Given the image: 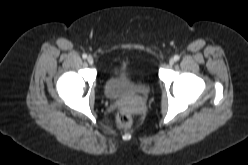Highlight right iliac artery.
<instances>
[{
	"instance_id": "1",
	"label": "right iliac artery",
	"mask_w": 248,
	"mask_h": 165,
	"mask_svg": "<svg viewBox=\"0 0 248 165\" xmlns=\"http://www.w3.org/2000/svg\"><path fill=\"white\" fill-rule=\"evenodd\" d=\"M82 58H83V59H86V58H87V54H83V55H82Z\"/></svg>"
}]
</instances>
